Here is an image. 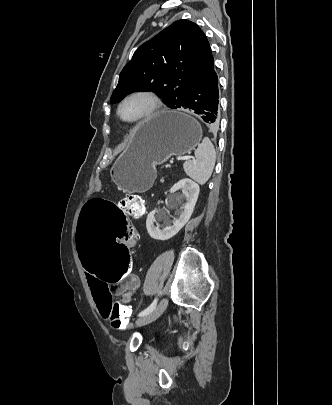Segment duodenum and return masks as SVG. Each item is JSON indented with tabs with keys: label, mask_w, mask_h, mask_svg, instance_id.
I'll return each instance as SVG.
<instances>
[{
	"label": "duodenum",
	"mask_w": 332,
	"mask_h": 405,
	"mask_svg": "<svg viewBox=\"0 0 332 405\" xmlns=\"http://www.w3.org/2000/svg\"><path fill=\"white\" fill-rule=\"evenodd\" d=\"M135 216H136V217H139V216H140V214H135Z\"/></svg>",
	"instance_id": "410a0bca"
}]
</instances>
